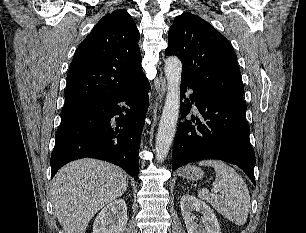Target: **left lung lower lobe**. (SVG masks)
<instances>
[{"label": "left lung lower lobe", "instance_id": "1", "mask_svg": "<svg viewBox=\"0 0 306 233\" xmlns=\"http://www.w3.org/2000/svg\"><path fill=\"white\" fill-rule=\"evenodd\" d=\"M187 88L205 120L193 127L191 121L180 123L174 140L172 170L203 159H219L239 166L255 183V153L250 144V128L245 119L246 105L242 97L219 92H204L181 80V99ZM189 103V99L185 100ZM192 104L181 102V116L185 117ZM195 122V119H191Z\"/></svg>", "mask_w": 306, "mask_h": 233}]
</instances>
